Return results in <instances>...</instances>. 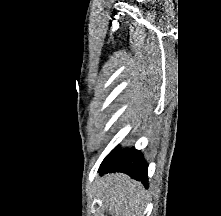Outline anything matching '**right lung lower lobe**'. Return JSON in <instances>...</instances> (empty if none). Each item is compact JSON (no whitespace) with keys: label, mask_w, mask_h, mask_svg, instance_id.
<instances>
[{"label":"right lung lower lobe","mask_w":221,"mask_h":216,"mask_svg":"<svg viewBox=\"0 0 221 216\" xmlns=\"http://www.w3.org/2000/svg\"><path fill=\"white\" fill-rule=\"evenodd\" d=\"M147 168L148 166L142 153L133 147L123 151L109 162L101 164L99 172L101 174L108 172H123L147 186Z\"/></svg>","instance_id":"1"}]
</instances>
